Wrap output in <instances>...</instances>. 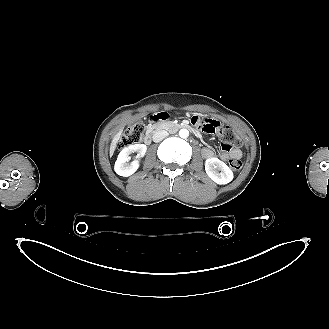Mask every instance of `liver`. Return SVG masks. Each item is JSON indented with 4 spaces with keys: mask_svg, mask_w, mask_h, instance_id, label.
Returning a JSON list of instances; mask_svg holds the SVG:
<instances>
[{
    "mask_svg": "<svg viewBox=\"0 0 329 329\" xmlns=\"http://www.w3.org/2000/svg\"><path fill=\"white\" fill-rule=\"evenodd\" d=\"M122 131L123 129H120L118 131V133L113 137V140L111 142V145H110V156L113 155L114 151H115V148H116V144L118 142V140L120 139L121 135H122Z\"/></svg>",
    "mask_w": 329,
    "mask_h": 329,
    "instance_id": "obj_1",
    "label": "liver"
}]
</instances>
